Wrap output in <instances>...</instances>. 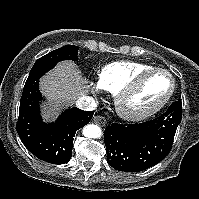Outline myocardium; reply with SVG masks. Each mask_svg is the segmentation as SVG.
Masks as SVG:
<instances>
[{
  "label": "myocardium",
  "mask_w": 199,
  "mask_h": 199,
  "mask_svg": "<svg viewBox=\"0 0 199 199\" xmlns=\"http://www.w3.org/2000/svg\"><path fill=\"white\" fill-rule=\"evenodd\" d=\"M162 73L169 77L171 87L166 96L156 105L147 109H132L127 105L128 99L138 90L142 82L150 75ZM176 90V81L170 71L151 67L136 73L116 94L115 107L119 116L128 121H142L158 113L172 98Z\"/></svg>",
  "instance_id": "f54148a6"
}]
</instances>
